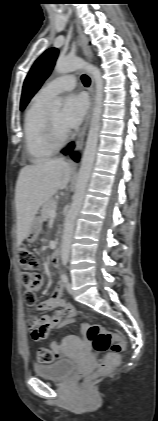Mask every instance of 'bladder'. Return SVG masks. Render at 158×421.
I'll return each instance as SVG.
<instances>
[{
  "label": "bladder",
  "mask_w": 158,
  "mask_h": 421,
  "mask_svg": "<svg viewBox=\"0 0 158 421\" xmlns=\"http://www.w3.org/2000/svg\"><path fill=\"white\" fill-rule=\"evenodd\" d=\"M76 363L70 358H60L48 364H35L33 367L36 376L61 381L72 374Z\"/></svg>",
  "instance_id": "31cf9c89"
}]
</instances>
